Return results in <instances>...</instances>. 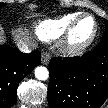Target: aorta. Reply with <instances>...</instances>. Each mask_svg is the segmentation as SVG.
I'll list each match as a JSON object with an SVG mask.
<instances>
[{"instance_id": "1", "label": "aorta", "mask_w": 108, "mask_h": 108, "mask_svg": "<svg viewBox=\"0 0 108 108\" xmlns=\"http://www.w3.org/2000/svg\"><path fill=\"white\" fill-rule=\"evenodd\" d=\"M35 77L38 80H46L49 77V72L46 67L39 66L35 69Z\"/></svg>"}]
</instances>
